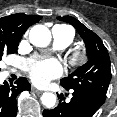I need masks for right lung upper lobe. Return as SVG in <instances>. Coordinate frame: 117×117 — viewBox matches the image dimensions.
<instances>
[{
	"mask_svg": "<svg viewBox=\"0 0 117 117\" xmlns=\"http://www.w3.org/2000/svg\"><path fill=\"white\" fill-rule=\"evenodd\" d=\"M42 16L12 14L0 18V43H19L29 26L39 22Z\"/></svg>",
	"mask_w": 117,
	"mask_h": 117,
	"instance_id": "cb5924a9",
	"label": "right lung upper lobe"
}]
</instances>
